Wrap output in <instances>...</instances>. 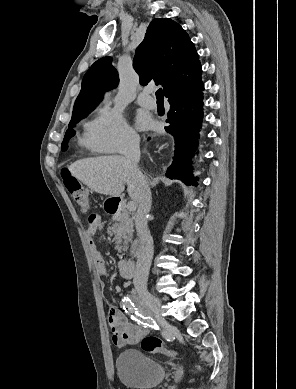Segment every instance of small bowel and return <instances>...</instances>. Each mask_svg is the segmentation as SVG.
<instances>
[{
	"mask_svg": "<svg viewBox=\"0 0 296 389\" xmlns=\"http://www.w3.org/2000/svg\"><path fill=\"white\" fill-rule=\"evenodd\" d=\"M101 222L99 214L91 215L87 235L98 271L101 276L105 277L107 276V269L94 242V236L101 229ZM108 323L112 332V340L117 346L137 344L148 332L144 324L129 322L124 312L117 307L110 308Z\"/></svg>",
	"mask_w": 296,
	"mask_h": 389,
	"instance_id": "1",
	"label": "small bowel"
}]
</instances>
